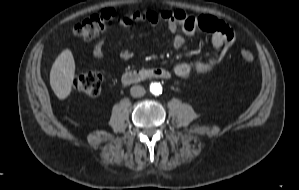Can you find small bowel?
Instances as JSON below:
<instances>
[{"mask_svg":"<svg viewBox=\"0 0 299 190\" xmlns=\"http://www.w3.org/2000/svg\"><path fill=\"white\" fill-rule=\"evenodd\" d=\"M207 23L202 27L199 25L198 16L190 15L182 9L166 11L161 14L154 10L139 11L133 10L129 15L122 17L118 23L131 27L135 23L143 22L149 25H157L160 21H166L168 30L173 34L172 45L180 48L185 43V36L192 35L197 28H202L212 33V46L214 54L207 59L195 60L193 62H182L177 64L173 73L176 77L187 78L192 73H207L222 60L228 47L234 41L233 30L223 21L213 15H203ZM93 55L96 58L103 57V40L98 41L93 47ZM122 59H129L132 53L129 50L120 52Z\"/></svg>","mask_w":299,"mask_h":190,"instance_id":"obj_1","label":"small bowel"}]
</instances>
